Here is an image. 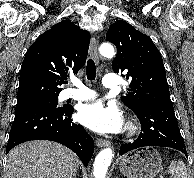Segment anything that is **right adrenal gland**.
Returning a JSON list of instances; mask_svg holds the SVG:
<instances>
[{
	"label": "right adrenal gland",
	"mask_w": 194,
	"mask_h": 178,
	"mask_svg": "<svg viewBox=\"0 0 194 178\" xmlns=\"http://www.w3.org/2000/svg\"><path fill=\"white\" fill-rule=\"evenodd\" d=\"M76 176H77V175L75 174L72 178H76Z\"/></svg>",
	"instance_id": "obj_1"
}]
</instances>
